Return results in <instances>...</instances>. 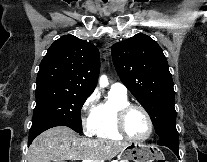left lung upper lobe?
I'll use <instances>...</instances> for the list:
<instances>
[{
  "label": "left lung upper lobe",
  "instance_id": "5c2ea615",
  "mask_svg": "<svg viewBox=\"0 0 207 162\" xmlns=\"http://www.w3.org/2000/svg\"><path fill=\"white\" fill-rule=\"evenodd\" d=\"M112 58L122 82L151 116L158 136L177 132L173 80L160 46L139 33L115 43Z\"/></svg>",
  "mask_w": 207,
  "mask_h": 162
}]
</instances>
